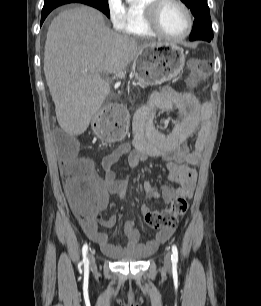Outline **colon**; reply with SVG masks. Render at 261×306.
I'll return each mask as SVG.
<instances>
[{
  "mask_svg": "<svg viewBox=\"0 0 261 306\" xmlns=\"http://www.w3.org/2000/svg\"><path fill=\"white\" fill-rule=\"evenodd\" d=\"M189 71V83L198 84L208 75L207 63L199 58H191L187 61ZM124 109L120 104L108 110V114L101 119V133L106 138L119 140L125 136L126 127L124 119ZM108 117H112L108 122ZM63 158L68 162L63 174L66 178V186L69 192L71 203L74 208L80 210L93 198L92 190L93 170L89 163L78 160L75 156L76 141L72 137L61 134L58 143ZM188 209L187 200L179 197L174 200L169 209L161 211L147 210L144 212L145 223L153 228H171L175 226L178 219L182 217Z\"/></svg>",
  "mask_w": 261,
  "mask_h": 306,
  "instance_id": "1",
  "label": "colon"
}]
</instances>
